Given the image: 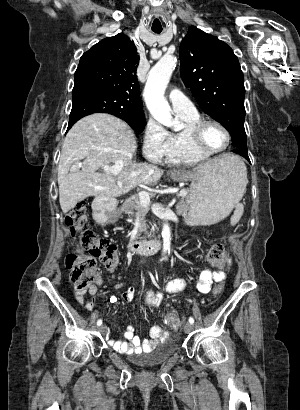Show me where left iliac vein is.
I'll list each match as a JSON object with an SVG mask.
<instances>
[{
  "label": "left iliac vein",
  "mask_w": 300,
  "mask_h": 410,
  "mask_svg": "<svg viewBox=\"0 0 300 410\" xmlns=\"http://www.w3.org/2000/svg\"><path fill=\"white\" fill-rule=\"evenodd\" d=\"M192 330H193V325H192L191 323H186L185 326H184V331H185L186 333H189V332H191Z\"/></svg>",
  "instance_id": "1"
}]
</instances>
